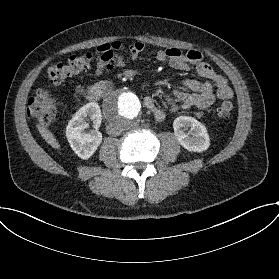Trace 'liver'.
I'll return each instance as SVG.
<instances>
[{
    "instance_id": "6515ba94",
    "label": "liver",
    "mask_w": 279,
    "mask_h": 279,
    "mask_svg": "<svg viewBox=\"0 0 279 279\" xmlns=\"http://www.w3.org/2000/svg\"><path fill=\"white\" fill-rule=\"evenodd\" d=\"M38 132L40 133L41 137L55 150L61 151V145L57 141L53 132L47 128H45L42 124L37 123Z\"/></svg>"
}]
</instances>
